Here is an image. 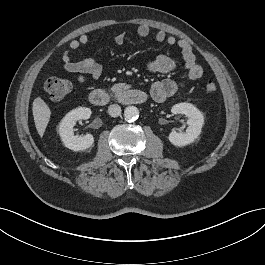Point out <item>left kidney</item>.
<instances>
[{
    "instance_id": "1",
    "label": "left kidney",
    "mask_w": 265,
    "mask_h": 265,
    "mask_svg": "<svg viewBox=\"0 0 265 265\" xmlns=\"http://www.w3.org/2000/svg\"><path fill=\"white\" fill-rule=\"evenodd\" d=\"M173 114H184L188 117V128L185 132L172 131L169 134V141L175 146H186L195 141L204 124V116L202 112L191 103H178L171 108Z\"/></svg>"
}]
</instances>
